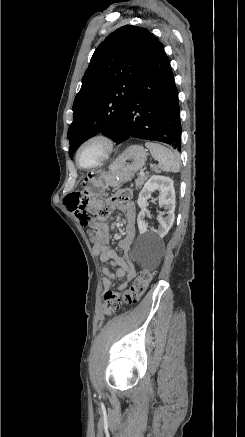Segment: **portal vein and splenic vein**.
Here are the masks:
<instances>
[{
    "label": "portal vein and splenic vein",
    "mask_w": 245,
    "mask_h": 437,
    "mask_svg": "<svg viewBox=\"0 0 245 437\" xmlns=\"http://www.w3.org/2000/svg\"><path fill=\"white\" fill-rule=\"evenodd\" d=\"M153 166H154V165H151V167H153ZM143 174H144V172H143V171H141V172H140V175H143Z\"/></svg>",
    "instance_id": "obj_1"
}]
</instances>
